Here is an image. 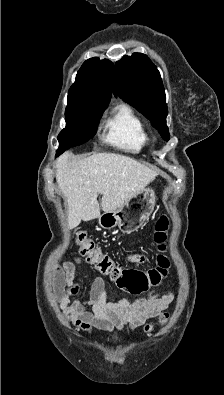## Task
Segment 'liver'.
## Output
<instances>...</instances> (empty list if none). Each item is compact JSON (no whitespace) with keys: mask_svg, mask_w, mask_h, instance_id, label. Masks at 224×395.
<instances>
[{"mask_svg":"<svg viewBox=\"0 0 224 395\" xmlns=\"http://www.w3.org/2000/svg\"><path fill=\"white\" fill-rule=\"evenodd\" d=\"M156 172L135 159L117 153H97L74 159L66 152L56 162V180L68 206V225L77 227L113 211L142 191L155 179Z\"/></svg>","mask_w":224,"mask_h":395,"instance_id":"liver-1","label":"liver"}]
</instances>
